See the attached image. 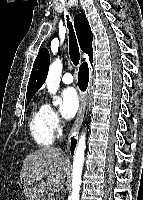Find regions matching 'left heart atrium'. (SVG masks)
<instances>
[{"label":"left heart atrium","mask_w":143,"mask_h":200,"mask_svg":"<svg viewBox=\"0 0 143 200\" xmlns=\"http://www.w3.org/2000/svg\"><path fill=\"white\" fill-rule=\"evenodd\" d=\"M79 108V97L74 88H66L61 94L60 112L65 119L75 116Z\"/></svg>","instance_id":"1"}]
</instances>
